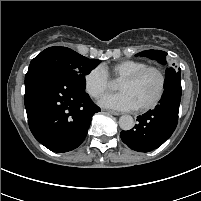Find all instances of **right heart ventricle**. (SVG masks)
<instances>
[{"instance_id": "e07e8e85", "label": "right heart ventricle", "mask_w": 201, "mask_h": 201, "mask_svg": "<svg viewBox=\"0 0 201 201\" xmlns=\"http://www.w3.org/2000/svg\"><path fill=\"white\" fill-rule=\"evenodd\" d=\"M145 66H147V64L143 61L123 60L110 67L102 66V68L106 71L108 76H111L117 80H121L123 77Z\"/></svg>"}]
</instances>
